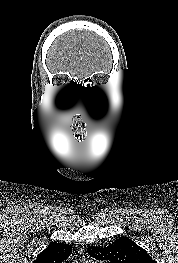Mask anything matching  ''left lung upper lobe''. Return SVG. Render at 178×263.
<instances>
[{"label": "left lung upper lobe", "instance_id": "left-lung-upper-lobe-1", "mask_svg": "<svg viewBox=\"0 0 178 263\" xmlns=\"http://www.w3.org/2000/svg\"><path fill=\"white\" fill-rule=\"evenodd\" d=\"M87 252L97 260L111 263H156L147 251L127 237L119 238L107 247L91 246Z\"/></svg>", "mask_w": 178, "mask_h": 263}]
</instances>
